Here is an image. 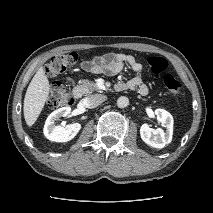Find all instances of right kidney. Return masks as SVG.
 I'll return each instance as SVG.
<instances>
[{"label":"right kidney","mask_w":213,"mask_h":213,"mask_svg":"<svg viewBox=\"0 0 213 213\" xmlns=\"http://www.w3.org/2000/svg\"><path fill=\"white\" fill-rule=\"evenodd\" d=\"M71 113L70 107H62L53 111L47 118L43 133L47 139L55 142H67L73 139L81 129L80 123L67 126L55 125L60 117H67Z\"/></svg>","instance_id":"ca27d5eb"}]
</instances>
